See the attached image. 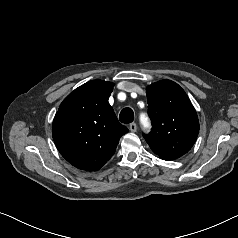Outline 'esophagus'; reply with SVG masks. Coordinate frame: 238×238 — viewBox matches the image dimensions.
<instances>
[{
    "label": "esophagus",
    "instance_id": "esophagus-1",
    "mask_svg": "<svg viewBox=\"0 0 238 238\" xmlns=\"http://www.w3.org/2000/svg\"><path fill=\"white\" fill-rule=\"evenodd\" d=\"M129 130H130L131 132H136V131H137V125H136V123H131V124L129 125Z\"/></svg>",
    "mask_w": 238,
    "mask_h": 238
}]
</instances>
